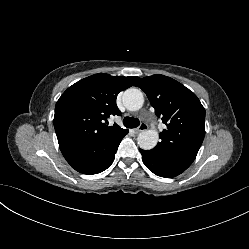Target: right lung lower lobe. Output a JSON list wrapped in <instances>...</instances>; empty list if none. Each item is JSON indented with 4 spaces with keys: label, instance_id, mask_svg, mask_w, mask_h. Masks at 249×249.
<instances>
[{
    "label": "right lung lower lobe",
    "instance_id": "obj_1",
    "mask_svg": "<svg viewBox=\"0 0 249 249\" xmlns=\"http://www.w3.org/2000/svg\"><path fill=\"white\" fill-rule=\"evenodd\" d=\"M128 130L95 143L59 145L67 162L78 172L91 175L106 170Z\"/></svg>",
    "mask_w": 249,
    "mask_h": 249
}]
</instances>
